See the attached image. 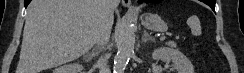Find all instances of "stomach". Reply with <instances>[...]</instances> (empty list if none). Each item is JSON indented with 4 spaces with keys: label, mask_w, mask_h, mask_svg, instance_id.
<instances>
[{
    "label": "stomach",
    "mask_w": 244,
    "mask_h": 73,
    "mask_svg": "<svg viewBox=\"0 0 244 73\" xmlns=\"http://www.w3.org/2000/svg\"><path fill=\"white\" fill-rule=\"evenodd\" d=\"M141 23L146 29L151 31L166 32L168 30L167 23L158 14H143L141 16Z\"/></svg>",
    "instance_id": "0dacf381"
}]
</instances>
